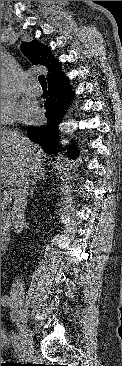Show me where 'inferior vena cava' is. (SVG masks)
Here are the masks:
<instances>
[{"instance_id":"obj_1","label":"inferior vena cava","mask_w":122,"mask_h":366,"mask_svg":"<svg viewBox=\"0 0 122 366\" xmlns=\"http://www.w3.org/2000/svg\"><path fill=\"white\" fill-rule=\"evenodd\" d=\"M29 183L30 174L25 172L21 175L20 179L16 182L13 189L14 205L11 211L12 215V225L20 232L25 224V209L27 206V197L29 195ZM11 296L17 298H24V288L21 282L12 284Z\"/></svg>"}]
</instances>
